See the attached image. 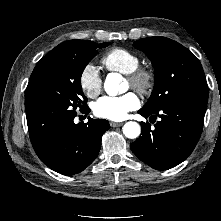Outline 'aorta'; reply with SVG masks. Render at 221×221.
I'll return each instance as SVG.
<instances>
[{
  "mask_svg": "<svg viewBox=\"0 0 221 221\" xmlns=\"http://www.w3.org/2000/svg\"><path fill=\"white\" fill-rule=\"evenodd\" d=\"M122 77L118 73H110L105 79L104 89L110 96H115L121 92ZM141 133V127L137 122L129 121L123 126V134L130 139L139 137Z\"/></svg>",
  "mask_w": 221,
  "mask_h": 221,
  "instance_id": "obj_1",
  "label": "aorta"
}]
</instances>
